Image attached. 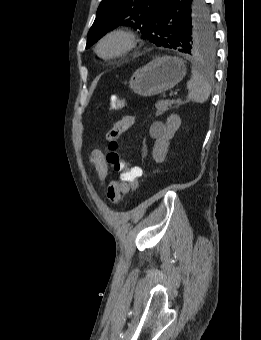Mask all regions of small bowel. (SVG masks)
<instances>
[{"instance_id":"1","label":"small bowel","mask_w":261,"mask_h":340,"mask_svg":"<svg viewBox=\"0 0 261 340\" xmlns=\"http://www.w3.org/2000/svg\"><path fill=\"white\" fill-rule=\"evenodd\" d=\"M135 123L133 115H125L119 119L108 133L109 139H115L125 134ZM92 169L97 174L101 185L104 187L107 198L112 203H118L122 196L130 191V186L121 178L106 183V177L110 169L104 153L98 149L93 150L89 156Z\"/></svg>"}]
</instances>
